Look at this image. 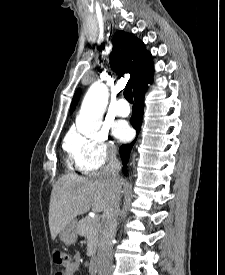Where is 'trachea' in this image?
Instances as JSON below:
<instances>
[{"label":"trachea","mask_w":225,"mask_h":275,"mask_svg":"<svg viewBox=\"0 0 225 275\" xmlns=\"http://www.w3.org/2000/svg\"><path fill=\"white\" fill-rule=\"evenodd\" d=\"M124 97L129 103H133L132 89L130 87L125 88Z\"/></svg>","instance_id":"obj_1"}]
</instances>
